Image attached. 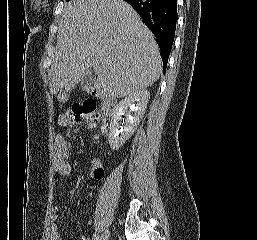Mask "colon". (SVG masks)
I'll return each mask as SVG.
<instances>
[{
	"instance_id": "1",
	"label": "colon",
	"mask_w": 257,
	"mask_h": 240,
	"mask_svg": "<svg viewBox=\"0 0 257 240\" xmlns=\"http://www.w3.org/2000/svg\"><path fill=\"white\" fill-rule=\"evenodd\" d=\"M65 116L69 121L76 123L96 120L98 117L96 104L91 100L75 103Z\"/></svg>"
}]
</instances>
